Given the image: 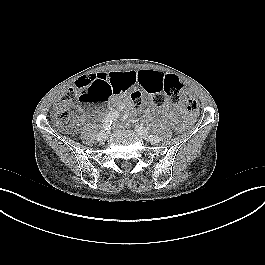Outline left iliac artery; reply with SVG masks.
<instances>
[{"label": "left iliac artery", "mask_w": 265, "mask_h": 265, "mask_svg": "<svg viewBox=\"0 0 265 265\" xmlns=\"http://www.w3.org/2000/svg\"><path fill=\"white\" fill-rule=\"evenodd\" d=\"M149 137L152 141H159V138L157 136L150 135Z\"/></svg>", "instance_id": "obj_1"}]
</instances>
